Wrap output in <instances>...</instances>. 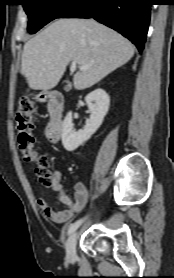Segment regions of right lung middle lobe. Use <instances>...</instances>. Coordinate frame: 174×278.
Here are the masks:
<instances>
[{
  "mask_svg": "<svg viewBox=\"0 0 174 278\" xmlns=\"http://www.w3.org/2000/svg\"><path fill=\"white\" fill-rule=\"evenodd\" d=\"M78 0H23L29 17L28 32L36 33L50 21L61 17Z\"/></svg>",
  "mask_w": 174,
  "mask_h": 278,
  "instance_id": "obj_1",
  "label": "right lung middle lobe"
}]
</instances>
